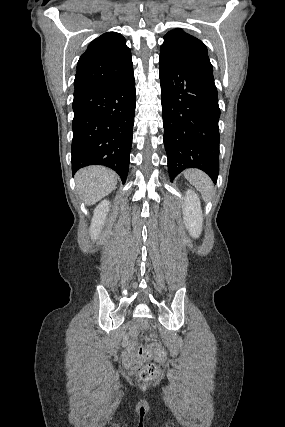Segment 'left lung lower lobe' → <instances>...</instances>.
Instances as JSON below:
<instances>
[{
  "mask_svg": "<svg viewBox=\"0 0 285 427\" xmlns=\"http://www.w3.org/2000/svg\"><path fill=\"white\" fill-rule=\"evenodd\" d=\"M164 145L169 176L186 168L219 173L220 109L213 72L159 57Z\"/></svg>",
  "mask_w": 285,
  "mask_h": 427,
  "instance_id": "1",
  "label": "left lung lower lobe"
}]
</instances>
